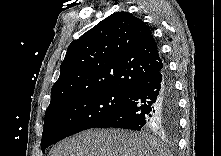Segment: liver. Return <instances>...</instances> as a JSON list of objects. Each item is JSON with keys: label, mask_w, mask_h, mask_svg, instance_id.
Segmentation results:
<instances>
[{"label": "liver", "mask_w": 221, "mask_h": 156, "mask_svg": "<svg viewBox=\"0 0 221 156\" xmlns=\"http://www.w3.org/2000/svg\"><path fill=\"white\" fill-rule=\"evenodd\" d=\"M165 145L144 132L91 129L59 142L49 156H165Z\"/></svg>", "instance_id": "liver-1"}]
</instances>
